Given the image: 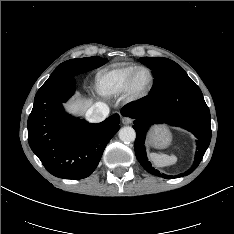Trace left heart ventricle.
<instances>
[{"label": "left heart ventricle", "instance_id": "obj_1", "mask_svg": "<svg viewBox=\"0 0 234 234\" xmlns=\"http://www.w3.org/2000/svg\"><path fill=\"white\" fill-rule=\"evenodd\" d=\"M150 83V74L146 70L140 71L134 80V90L143 92L147 89Z\"/></svg>", "mask_w": 234, "mask_h": 234}]
</instances>
